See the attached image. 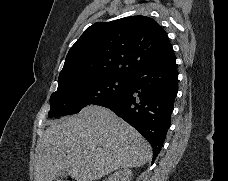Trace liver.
<instances>
[{"mask_svg":"<svg viewBox=\"0 0 228 181\" xmlns=\"http://www.w3.org/2000/svg\"><path fill=\"white\" fill-rule=\"evenodd\" d=\"M49 125L38 141L34 181H54L70 167L75 181H99L118 169L143 167L152 153L136 129L105 107L89 105Z\"/></svg>","mask_w":228,"mask_h":181,"instance_id":"obj_1","label":"liver"}]
</instances>
